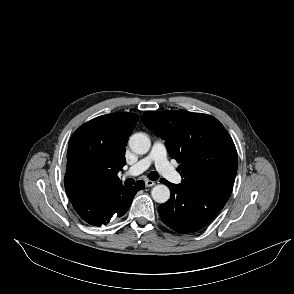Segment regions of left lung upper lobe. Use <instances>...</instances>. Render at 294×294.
I'll use <instances>...</instances> for the list:
<instances>
[{
	"label": "left lung upper lobe",
	"mask_w": 294,
	"mask_h": 294,
	"mask_svg": "<svg viewBox=\"0 0 294 294\" xmlns=\"http://www.w3.org/2000/svg\"><path fill=\"white\" fill-rule=\"evenodd\" d=\"M144 125L165 140L180 164L183 186L222 184L233 187L238 158L227 130L214 117L182 110L144 112Z\"/></svg>",
	"instance_id": "5c2ea615"
}]
</instances>
